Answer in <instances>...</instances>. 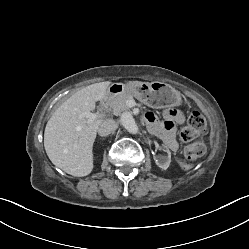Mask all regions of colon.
Returning a JSON list of instances; mask_svg holds the SVG:
<instances>
[{"instance_id": "colon-1", "label": "colon", "mask_w": 249, "mask_h": 249, "mask_svg": "<svg viewBox=\"0 0 249 249\" xmlns=\"http://www.w3.org/2000/svg\"><path fill=\"white\" fill-rule=\"evenodd\" d=\"M206 128L204 116L194 111L189 115L188 124L181 130L180 136L183 141H193ZM205 153V146L200 141L191 142L184 150V157L188 161H195Z\"/></svg>"}]
</instances>
